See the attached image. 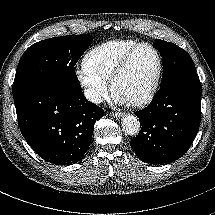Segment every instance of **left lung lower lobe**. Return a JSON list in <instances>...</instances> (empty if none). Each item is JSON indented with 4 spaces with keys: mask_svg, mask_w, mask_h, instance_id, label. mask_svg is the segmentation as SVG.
<instances>
[{
    "mask_svg": "<svg viewBox=\"0 0 215 215\" xmlns=\"http://www.w3.org/2000/svg\"><path fill=\"white\" fill-rule=\"evenodd\" d=\"M142 126L130 142L144 162L164 164L187 152L201 120V83L195 72L160 87L151 103L135 112Z\"/></svg>",
    "mask_w": 215,
    "mask_h": 215,
    "instance_id": "obj_1",
    "label": "left lung lower lobe"
}]
</instances>
